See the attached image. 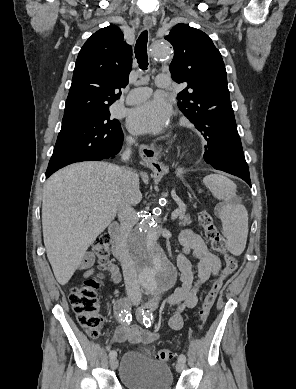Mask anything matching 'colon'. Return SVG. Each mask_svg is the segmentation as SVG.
Wrapping results in <instances>:
<instances>
[{
    "instance_id": "1",
    "label": "colon",
    "mask_w": 296,
    "mask_h": 389,
    "mask_svg": "<svg viewBox=\"0 0 296 389\" xmlns=\"http://www.w3.org/2000/svg\"><path fill=\"white\" fill-rule=\"evenodd\" d=\"M198 222L203 228L206 238L211 243L212 249L225 256L224 268L222 269L220 276L213 283L199 308V327L202 329L216 301L223 281L236 271L238 261L235 256L227 252L226 240L218 230L212 216L207 210H201L199 212ZM111 241V236L108 233H102L95 239L92 245V250L102 269L109 263ZM101 277L102 274L100 273L95 278L87 279L81 285L73 287L69 292V302L80 325L86 329L88 335L93 339L100 336L103 324V317L100 313L97 299V290L101 283ZM154 355L158 360L164 362H167L174 357L173 352L168 349H160L156 351Z\"/></svg>"
}]
</instances>
